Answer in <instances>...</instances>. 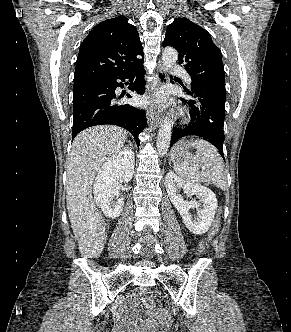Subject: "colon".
Listing matches in <instances>:
<instances>
[{"label":"colon","mask_w":291,"mask_h":332,"mask_svg":"<svg viewBox=\"0 0 291 332\" xmlns=\"http://www.w3.org/2000/svg\"><path fill=\"white\" fill-rule=\"evenodd\" d=\"M219 224H218V221H216L215 223H214V227H213V230H212V232H211V238L216 234V232L218 231V226ZM145 305H146V307L147 308H151L152 307V302L150 301V300H146L145 301ZM164 312H166L165 310H163ZM167 313V312H166Z\"/></svg>","instance_id":"colon-1"}]
</instances>
